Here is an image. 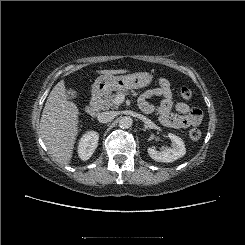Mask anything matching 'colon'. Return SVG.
<instances>
[{
  "mask_svg": "<svg viewBox=\"0 0 245 245\" xmlns=\"http://www.w3.org/2000/svg\"><path fill=\"white\" fill-rule=\"evenodd\" d=\"M179 95L183 100H189L192 96V91L188 87H181ZM202 136L201 131L198 128H193L189 131V137L193 141H198Z\"/></svg>",
  "mask_w": 245,
  "mask_h": 245,
  "instance_id": "colon-1",
  "label": "colon"
}]
</instances>
